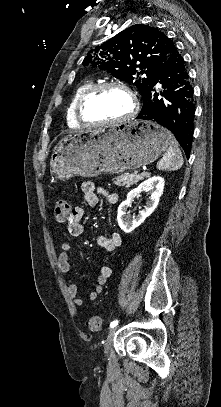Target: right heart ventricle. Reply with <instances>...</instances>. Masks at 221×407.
Listing matches in <instances>:
<instances>
[{
    "instance_id": "1",
    "label": "right heart ventricle",
    "mask_w": 221,
    "mask_h": 407,
    "mask_svg": "<svg viewBox=\"0 0 221 407\" xmlns=\"http://www.w3.org/2000/svg\"><path fill=\"white\" fill-rule=\"evenodd\" d=\"M94 84L91 81H85L79 84L71 93L66 106V119L70 126H79L80 122L76 115V104L80 96Z\"/></svg>"
}]
</instances>
